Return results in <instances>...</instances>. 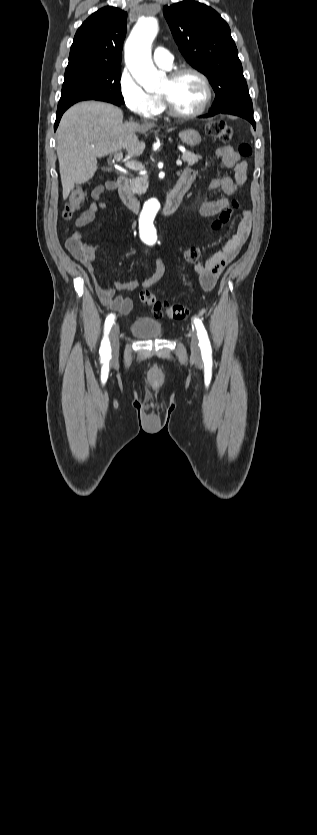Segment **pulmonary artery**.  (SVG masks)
<instances>
[{"label": "pulmonary artery", "mask_w": 317, "mask_h": 835, "mask_svg": "<svg viewBox=\"0 0 317 835\" xmlns=\"http://www.w3.org/2000/svg\"><path fill=\"white\" fill-rule=\"evenodd\" d=\"M154 62L165 69H170L173 64L172 54L164 47H157L153 52Z\"/></svg>", "instance_id": "1"}]
</instances>
